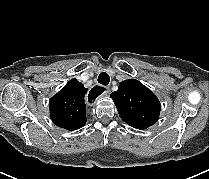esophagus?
<instances>
[{
    "instance_id": "esophagus-1",
    "label": "esophagus",
    "mask_w": 209,
    "mask_h": 179,
    "mask_svg": "<svg viewBox=\"0 0 209 179\" xmlns=\"http://www.w3.org/2000/svg\"><path fill=\"white\" fill-rule=\"evenodd\" d=\"M103 92V95H108L110 93V88L109 87H99V86H95L90 90V95L87 98V101L90 104H93L96 99L97 96H99L101 93Z\"/></svg>"
}]
</instances>
